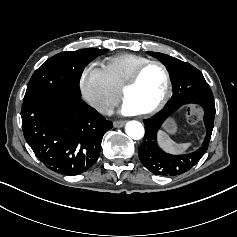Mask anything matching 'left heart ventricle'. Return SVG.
I'll use <instances>...</instances> for the list:
<instances>
[{
  "mask_svg": "<svg viewBox=\"0 0 237 237\" xmlns=\"http://www.w3.org/2000/svg\"><path fill=\"white\" fill-rule=\"evenodd\" d=\"M166 80L163 70L152 65L141 75L138 83L126 95L127 101L138 113L154 108L165 92Z\"/></svg>",
  "mask_w": 237,
  "mask_h": 237,
  "instance_id": "1",
  "label": "left heart ventricle"
}]
</instances>
